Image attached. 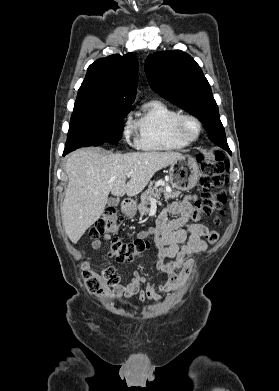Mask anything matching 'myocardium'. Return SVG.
I'll use <instances>...</instances> for the list:
<instances>
[{"label": "myocardium", "instance_id": "obj_1", "mask_svg": "<svg viewBox=\"0 0 279 391\" xmlns=\"http://www.w3.org/2000/svg\"><path fill=\"white\" fill-rule=\"evenodd\" d=\"M188 121L193 122L196 126V134L193 137H188L184 132L185 124ZM201 131H202V124L200 120L193 114L180 113L175 120L174 123L175 136L188 145L195 142L199 138Z\"/></svg>", "mask_w": 279, "mask_h": 391}]
</instances>
